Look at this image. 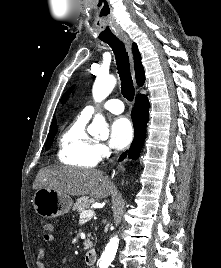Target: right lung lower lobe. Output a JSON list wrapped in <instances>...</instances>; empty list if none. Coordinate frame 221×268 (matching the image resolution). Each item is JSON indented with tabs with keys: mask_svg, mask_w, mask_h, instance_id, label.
Masks as SVG:
<instances>
[{
	"mask_svg": "<svg viewBox=\"0 0 221 268\" xmlns=\"http://www.w3.org/2000/svg\"><path fill=\"white\" fill-rule=\"evenodd\" d=\"M134 125V140L129 151L124 152L119 161H122L127 154L132 159H138L144 140L146 138V125L149 120V101L145 95H138L131 113Z\"/></svg>",
	"mask_w": 221,
	"mask_h": 268,
	"instance_id": "obj_1",
	"label": "right lung lower lobe"
}]
</instances>
